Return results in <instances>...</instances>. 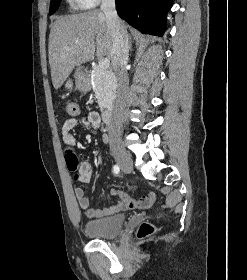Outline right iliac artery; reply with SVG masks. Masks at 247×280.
<instances>
[{
    "label": "right iliac artery",
    "instance_id": "1",
    "mask_svg": "<svg viewBox=\"0 0 247 280\" xmlns=\"http://www.w3.org/2000/svg\"><path fill=\"white\" fill-rule=\"evenodd\" d=\"M113 172H114V174H119V172H120V168H119V166L118 165H114V167H113Z\"/></svg>",
    "mask_w": 247,
    "mask_h": 280
}]
</instances>
